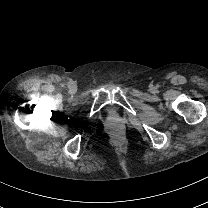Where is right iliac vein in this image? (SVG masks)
<instances>
[{"label": "right iliac vein", "mask_w": 208, "mask_h": 208, "mask_svg": "<svg viewBox=\"0 0 208 208\" xmlns=\"http://www.w3.org/2000/svg\"><path fill=\"white\" fill-rule=\"evenodd\" d=\"M75 91H76V88H75L74 86H72V87L70 88V92H71V93H75Z\"/></svg>", "instance_id": "right-iliac-vein-1"}]
</instances>
